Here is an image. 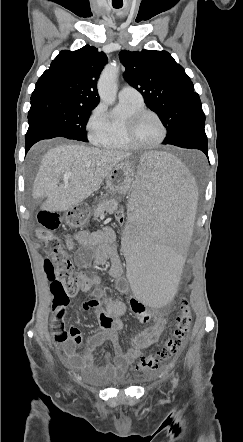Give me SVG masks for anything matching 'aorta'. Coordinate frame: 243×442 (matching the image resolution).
I'll return each instance as SVG.
<instances>
[{"label":"aorta","instance_id":"aorta-1","mask_svg":"<svg viewBox=\"0 0 243 442\" xmlns=\"http://www.w3.org/2000/svg\"><path fill=\"white\" fill-rule=\"evenodd\" d=\"M119 68L111 65L104 69L98 81V93L102 101L113 103L116 97V79Z\"/></svg>","mask_w":243,"mask_h":442}]
</instances>
